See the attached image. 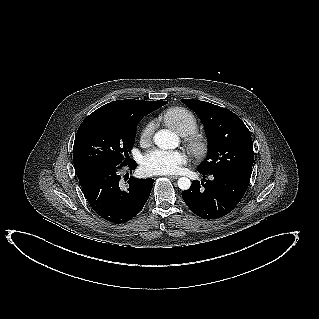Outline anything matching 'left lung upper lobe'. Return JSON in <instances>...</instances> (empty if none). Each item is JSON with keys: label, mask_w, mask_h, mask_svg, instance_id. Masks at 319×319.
Wrapping results in <instances>:
<instances>
[{"label": "left lung upper lobe", "mask_w": 319, "mask_h": 319, "mask_svg": "<svg viewBox=\"0 0 319 319\" xmlns=\"http://www.w3.org/2000/svg\"><path fill=\"white\" fill-rule=\"evenodd\" d=\"M181 101L197 114L208 137V155L197 170L207 174L228 172L250 181L253 143L241 119L230 110L205 101Z\"/></svg>", "instance_id": "left-lung-upper-lobe-1"}]
</instances>
